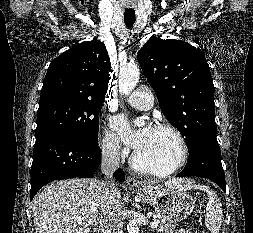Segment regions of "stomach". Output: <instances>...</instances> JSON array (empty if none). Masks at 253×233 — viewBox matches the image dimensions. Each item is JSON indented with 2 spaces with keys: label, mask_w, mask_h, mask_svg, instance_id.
<instances>
[{
  "label": "stomach",
  "mask_w": 253,
  "mask_h": 233,
  "mask_svg": "<svg viewBox=\"0 0 253 233\" xmlns=\"http://www.w3.org/2000/svg\"><path fill=\"white\" fill-rule=\"evenodd\" d=\"M137 192L142 194L157 214L169 223L184 220L194 209V199L185 190L177 187L144 183Z\"/></svg>",
  "instance_id": "1"
}]
</instances>
